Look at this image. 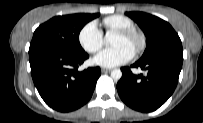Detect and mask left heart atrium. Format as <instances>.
Returning a JSON list of instances; mask_svg holds the SVG:
<instances>
[{
  "mask_svg": "<svg viewBox=\"0 0 203 123\" xmlns=\"http://www.w3.org/2000/svg\"><path fill=\"white\" fill-rule=\"evenodd\" d=\"M133 57V52L124 46H113L99 52L94 57V63L103 67H115L127 63Z\"/></svg>",
  "mask_w": 203,
  "mask_h": 123,
  "instance_id": "39dd6f15",
  "label": "left heart atrium"
}]
</instances>
